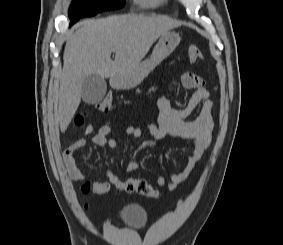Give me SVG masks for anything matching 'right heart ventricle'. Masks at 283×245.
Masks as SVG:
<instances>
[{"label": "right heart ventricle", "mask_w": 283, "mask_h": 245, "mask_svg": "<svg viewBox=\"0 0 283 245\" xmlns=\"http://www.w3.org/2000/svg\"><path fill=\"white\" fill-rule=\"evenodd\" d=\"M166 0H134L142 8H158L164 5Z\"/></svg>", "instance_id": "e07e8e85"}]
</instances>
